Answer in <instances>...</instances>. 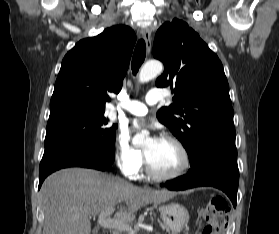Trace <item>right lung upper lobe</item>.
<instances>
[{
    "mask_svg": "<svg viewBox=\"0 0 279 234\" xmlns=\"http://www.w3.org/2000/svg\"><path fill=\"white\" fill-rule=\"evenodd\" d=\"M136 35L125 25L79 41L64 57L50 111L62 108L104 110L107 93H118L127 73Z\"/></svg>",
    "mask_w": 279,
    "mask_h": 234,
    "instance_id": "1",
    "label": "right lung upper lobe"
}]
</instances>
